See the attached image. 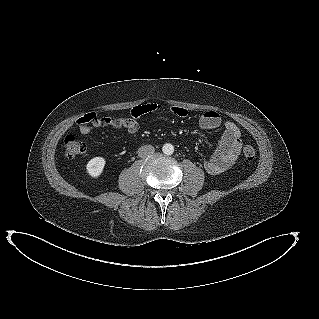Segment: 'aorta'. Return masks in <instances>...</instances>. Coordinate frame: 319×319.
Instances as JSON below:
<instances>
[{
    "label": "aorta",
    "mask_w": 319,
    "mask_h": 319,
    "mask_svg": "<svg viewBox=\"0 0 319 319\" xmlns=\"http://www.w3.org/2000/svg\"><path fill=\"white\" fill-rule=\"evenodd\" d=\"M162 151L166 155H172L174 153V146L172 144L166 143L163 145Z\"/></svg>",
    "instance_id": "762f6f07"
}]
</instances>
